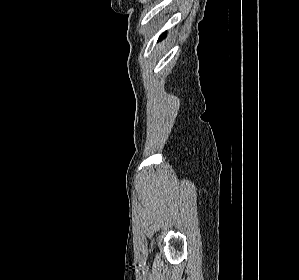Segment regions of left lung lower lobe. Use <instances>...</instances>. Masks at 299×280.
I'll return each instance as SVG.
<instances>
[{
    "label": "left lung lower lobe",
    "instance_id": "1",
    "mask_svg": "<svg viewBox=\"0 0 299 280\" xmlns=\"http://www.w3.org/2000/svg\"><path fill=\"white\" fill-rule=\"evenodd\" d=\"M164 37H165V33H163V34L160 36L159 40L163 39Z\"/></svg>",
    "mask_w": 299,
    "mask_h": 280
}]
</instances>
